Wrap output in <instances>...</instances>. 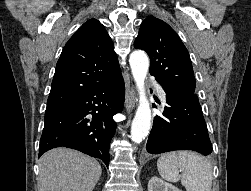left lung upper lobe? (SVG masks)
<instances>
[{"mask_svg": "<svg viewBox=\"0 0 251 191\" xmlns=\"http://www.w3.org/2000/svg\"><path fill=\"white\" fill-rule=\"evenodd\" d=\"M134 47L147 52L150 74L168 93H195V77L189 53L177 33L164 21L147 17Z\"/></svg>", "mask_w": 251, "mask_h": 191, "instance_id": "5c2ea615", "label": "left lung upper lobe"}]
</instances>
